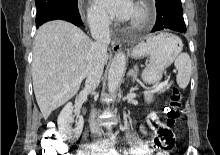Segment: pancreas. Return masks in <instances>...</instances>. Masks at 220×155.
Wrapping results in <instances>:
<instances>
[{
  "label": "pancreas",
  "mask_w": 220,
  "mask_h": 155,
  "mask_svg": "<svg viewBox=\"0 0 220 155\" xmlns=\"http://www.w3.org/2000/svg\"><path fill=\"white\" fill-rule=\"evenodd\" d=\"M170 85H171V84L165 85V86H164L162 89H160L158 92H159V93H164L166 90L169 89Z\"/></svg>",
  "instance_id": "cf45deb5"
}]
</instances>
